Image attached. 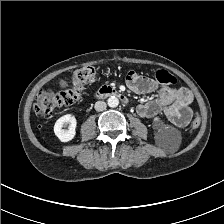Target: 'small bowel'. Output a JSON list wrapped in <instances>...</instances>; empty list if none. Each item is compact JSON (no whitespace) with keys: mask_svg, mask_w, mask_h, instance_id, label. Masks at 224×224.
I'll list each match as a JSON object with an SVG mask.
<instances>
[{"mask_svg":"<svg viewBox=\"0 0 224 224\" xmlns=\"http://www.w3.org/2000/svg\"><path fill=\"white\" fill-rule=\"evenodd\" d=\"M127 85L133 92L139 94L151 93L156 88L153 81L133 71L127 76ZM59 86L66 87V82L61 80ZM193 98V93L188 88L161 87L158 91V97L140 104L137 112L140 116L146 118L154 117L163 112L175 126L185 127L191 118L189 105Z\"/></svg>","mask_w":224,"mask_h":224,"instance_id":"1","label":"small bowel"}]
</instances>
